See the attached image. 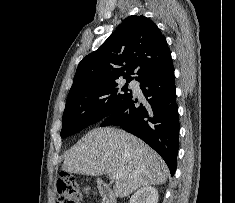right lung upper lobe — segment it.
Wrapping results in <instances>:
<instances>
[{"mask_svg":"<svg viewBox=\"0 0 235 203\" xmlns=\"http://www.w3.org/2000/svg\"><path fill=\"white\" fill-rule=\"evenodd\" d=\"M170 62L166 39L156 24L144 16H129L96 51L79 63L69 93L120 77L138 81ZM133 74L136 76L131 77Z\"/></svg>","mask_w":235,"mask_h":203,"instance_id":"cb5924a9","label":"right lung upper lobe"}]
</instances>
